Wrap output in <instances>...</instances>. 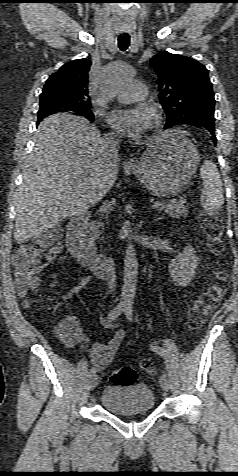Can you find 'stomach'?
Returning a JSON list of instances; mask_svg holds the SVG:
<instances>
[{
	"label": "stomach",
	"mask_w": 238,
	"mask_h": 476,
	"mask_svg": "<svg viewBox=\"0 0 238 476\" xmlns=\"http://www.w3.org/2000/svg\"><path fill=\"white\" fill-rule=\"evenodd\" d=\"M199 162L196 146L186 133L170 130L150 142L132 170L153 194L173 196L189 184Z\"/></svg>",
	"instance_id": "0dacf381"
}]
</instances>
